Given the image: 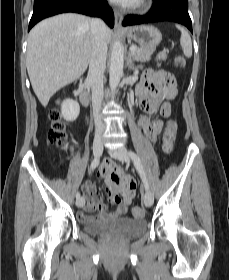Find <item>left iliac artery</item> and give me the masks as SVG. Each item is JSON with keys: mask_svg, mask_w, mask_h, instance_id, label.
<instances>
[{"mask_svg": "<svg viewBox=\"0 0 229 280\" xmlns=\"http://www.w3.org/2000/svg\"><path fill=\"white\" fill-rule=\"evenodd\" d=\"M129 155L131 156V158L134 162V165H135L136 169L138 170V172L141 176V179H142V182H143L145 188L148 189V182H147V179H146V176H145V173H144V170H143V166H142V163H141V160H140L139 156L133 151H130Z\"/></svg>", "mask_w": 229, "mask_h": 280, "instance_id": "obj_1", "label": "left iliac artery"}]
</instances>
